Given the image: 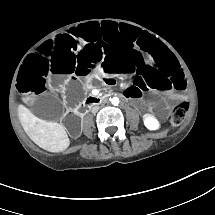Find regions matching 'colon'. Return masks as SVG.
Segmentation results:
<instances>
[{
    "instance_id": "colon-1",
    "label": "colon",
    "mask_w": 215,
    "mask_h": 215,
    "mask_svg": "<svg viewBox=\"0 0 215 215\" xmlns=\"http://www.w3.org/2000/svg\"><path fill=\"white\" fill-rule=\"evenodd\" d=\"M189 110L188 102H181L174 107L171 114V124L173 126H179L184 121L186 114Z\"/></svg>"
}]
</instances>
